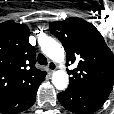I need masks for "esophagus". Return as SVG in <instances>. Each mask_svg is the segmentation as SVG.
<instances>
[{"instance_id":"esophagus-1","label":"esophagus","mask_w":114,"mask_h":114,"mask_svg":"<svg viewBox=\"0 0 114 114\" xmlns=\"http://www.w3.org/2000/svg\"><path fill=\"white\" fill-rule=\"evenodd\" d=\"M47 68H48V72L51 74V73H53L56 70L57 65L53 61H50L48 63V67Z\"/></svg>"}]
</instances>
